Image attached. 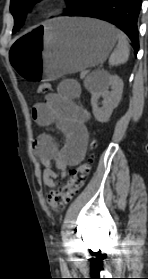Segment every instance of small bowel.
I'll return each instance as SVG.
<instances>
[{"mask_svg":"<svg viewBox=\"0 0 148 279\" xmlns=\"http://www.w3.org/2000/svg\"><path fill=\"white\" fill-rule=\"evenodd\" d=\"M80 91L77 81L63 80L56 92L48 94L31 109L38 125H56L65 138L62 147L47 133L40 134L33 143L34 153L45 167L42 181L49 188L60 184L67 176V167L77 164L86 152L88 132L85 124L89 113L75 103Z\"/></svg>","mask_w":148,"mask_h":279,"instance_id":"1","label":"small bowel"}]
</instances>
